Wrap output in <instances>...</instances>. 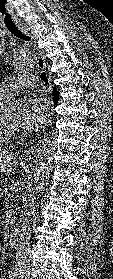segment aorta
Instances as JSON below:
<instances>
[{
    "label": "aorta",
    "mask_w": 113,
    "mask_h": 279,
    "mask_svg": "<svg viewBox=\"0 0 113 279\" xmlns=\"http://www.w3.org/2000/svg\"><path fill=\"white\" fill-rule=\"evenodd\" d=\"M34 65V58L32 53H20L17 55L14 66L17 69H27ZM53 145L51 140L44 138L41 140L36 155V163L33 172V191L34 193H41L50 178L53 169Z\"/></svg>",
    "instance_id": "obj_1"
}]
</instances>
